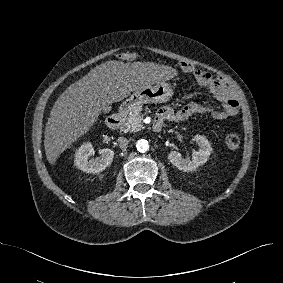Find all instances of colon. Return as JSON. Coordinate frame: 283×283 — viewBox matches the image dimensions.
Wrapping results in <instances>:
<instances>
[{
    "label": "colon",
    "instance_id": "obj_1",
    "mask_svg": "<svg viewBox=\"0 0 283 283\" xmlns=\"http://www.w3.org/2000/svg\"><path fill=\"white\" fill-rule=\"evenodd\" d=\"M183 70H188L190 66L188 64H182ZM224 143L230 150H236L240 145L239 137L231 132H227L224 134Z\"/></svg>",
    "mask_w": 283,
    "mask_h": 283
}]
</instances>
